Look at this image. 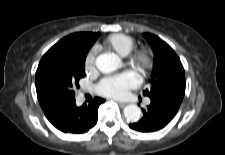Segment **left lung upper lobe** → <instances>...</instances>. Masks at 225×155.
<instances>
[{
  "label": "left lung upper lobe",
  "instance_id": "5c2ea615",
  "mask_svg": "<svg viewBox=\"0 0 225 155\" xmlns=\"http://www.w3.org/2000/svg\"><path fill=\"white\" fill-rule=\"evenodd\" d=\"M154 52V65L150 89L143 94L150 99H177L182 101L185 94L183 65L174 50L159 37L145 33Z\"/></svg>",
  "mask_w": 225,
  "mask_h": 155
}]
</instances>
